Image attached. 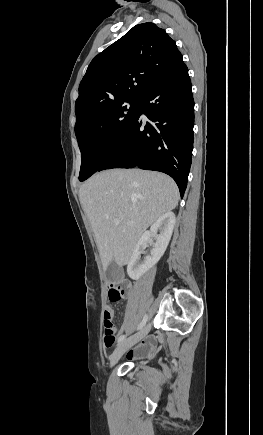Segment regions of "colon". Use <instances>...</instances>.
I'll list each match as a JSON object with an SVG mask.
<instances>
[{"label":"colon","instance_id":"5ec220e1","mask_svg":"<svg viewBox=\"0 0 263 435\" xmlns=\"http://www.w3.org/2000/svg\"><path fill=\"white\" fill-rule=\"evenodd\" d=\"M125 289L120 285L110 284L108 286V298L111 302H118L124 296ZM115 329L110 312H104V348L113 350L115 348Z\"/></svg>","mask_w":263,"mask_h":435}]
</instances>
